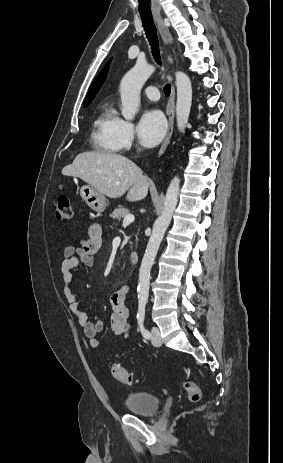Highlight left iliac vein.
Returning a JSON list of instances; mask_svg holds the SVG:
<instances>
[{"mask_svg":"<svg viewBox=\"0 0 283 463\" xmlns=\"http://www.w3.org/2000/svg\"><path fill=\"white\" fill-rule=\"evenodd\" d=\"M151 333H152V336H151V342L154 346H161L162 345V339H161V336H160V331L157 327H152L151 329Z\"/></svg>","mask_w":283,"mask_h":463,"instance_id":"obj_1","label":"left iliac vein"}]
</instances>
